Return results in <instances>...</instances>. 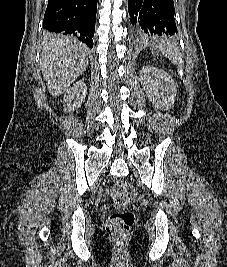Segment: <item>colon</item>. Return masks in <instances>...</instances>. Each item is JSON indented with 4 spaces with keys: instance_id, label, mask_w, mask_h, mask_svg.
I'll return each mask as SVG.
<instances>
[{
    "instance_id": "5ec220e1",
    "label": "colon",
    "mask_w": 227,
    "mask_h": 267,
    "mask_svg": "<svg viewBox=\"0 0 227 267\" xmlns=\"http://www.w3.org/2000/svg\"><path fill=\"white\" fill-rule=\"evenodd\" d=\"M111 195L119 205L129 203L133 197V189L127 181H117L112 185ZM135 216L130 211H115L106 221V231L116 245H124L130 236Z\"/></svg>"
}]
</instances>
